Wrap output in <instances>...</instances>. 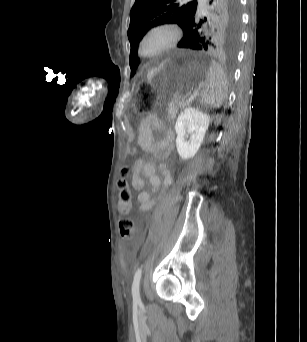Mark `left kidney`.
<instances>
[{
    "mask_svg": "<svg viewBox=\"0 0 307 342\" xmlns=\"http://www.w3.org/2000/svg\"><path fill=\"white\" fill-rule=\"evenodd\" d=\"M209 122V116L195 108H185L179 114L175 124L176 148L182 160H190L197 154L208 130Z\"/></svg>",
    "mask_w": 307,
    "mask_h": 342,
    "instance_id": "5707ae66",
    "label": "left kidney"
}]
</instances>
